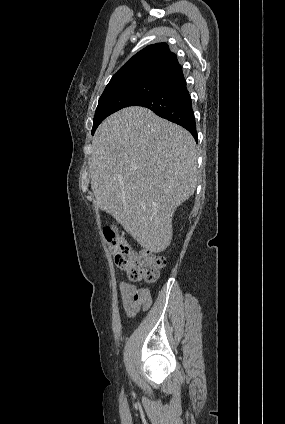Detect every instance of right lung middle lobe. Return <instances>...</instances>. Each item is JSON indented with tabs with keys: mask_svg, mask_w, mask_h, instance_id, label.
I'll return each mask as SVG.
<instances>
[{
	"mask_svg": "<svg viewBox=\"0 0 285 424\" xmlns=\"http://www.w3.org/2000/svg\"><path fill=\"white\" fill-rule=\"evenodd\" d=\"M163 83L143 81L105 89L99 98L93 120L92 134L98 125L112 113L128 107L132 102L158 90Z\"/></svg>",
	"mask_w": 285,
	"mask_h": 424,
	"instance_id": "1",
	"label": "right lung middle lobe"
}]
</instances>
